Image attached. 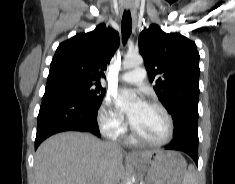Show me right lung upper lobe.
Instances as JSON below:
<instances>
[{
    "instance_id": "cb5924a9",
    "label": "right lung upper lobe",
    "mask_w": 235,
    "mask_h": 184,
    "mask_svg": "<svg viewBox=\"0 0 235 184\" xmlns=\"http://www.w3.org/2000/svg\"><path fill=\"white\" fill-rule=\"evenodd\" d=\"M118 44V33L105 24L62 42L51 62L46 88L61 86L66 78L100 84Z\"/></svg>"
}]
</instances>
